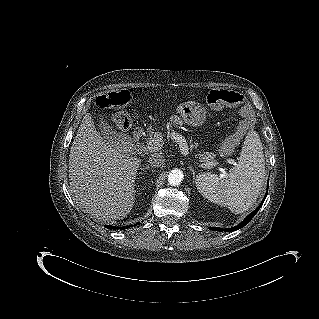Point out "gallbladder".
<instances>
[{"label":"gallbladder","mask_w":319,"mask_h":319,"mask_svg":"<svg viewBox=\"0 0 319 319\" xmlns=\"http://www.w3.org/2000/svg\"><path fill=\"white\" fill-rule=\"evenodd\" d=\"M98 127L100 128L101 133H103L108 139H112V137L113 139L121 137L119 133L113 132L110 125L103 119L99 120Z\"/></svg>","instance_id":"1"}]
</instances>
